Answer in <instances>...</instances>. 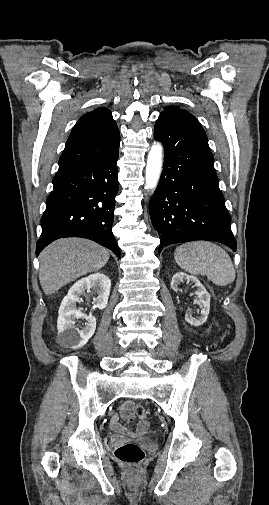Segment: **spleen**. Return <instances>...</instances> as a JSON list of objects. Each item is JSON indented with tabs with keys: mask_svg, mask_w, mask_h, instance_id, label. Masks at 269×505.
I'll use <instances>...</instances> for the list:
<instances>
[{
	"mask_svg": "<svg viewBox=\"0 0 269 505\" xmlns=\"http://www.w3.org/2000/svg\"><path fill=\"white\" fill-rule=\"evenodd\" d=\"M177 264L193 275H206L217 286L235 280V269L229 254L209 241H193L180 245L174 252Z\"/></svg>",
	"mask_w": 269,
	"mask_h": 505,
	"instance_id": "3e777b00",
	"label": "spleen"
}]
</instances>
